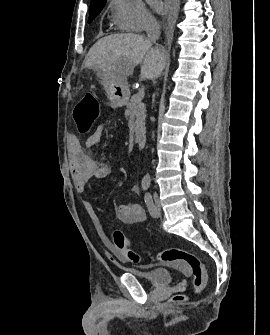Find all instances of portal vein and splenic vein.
Masks as SVG:
<instances>
[{"instance_id": "portal-vein-and-splenic-vein-1", "label": "portal vein and splenic vein", "mask_w": 270, "mask_h": 335, "mask_svg": "<svg viewBox=\"0 0 270 335\" xmlns=\"http://www.w3.org/2000/svg\"><path fill=\"white\" fill-rule=\"evenodd\" d=\"M145 88H138L135 93L136 101H143Z\"/></svg>"}]
</instances>
